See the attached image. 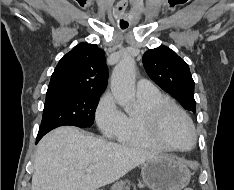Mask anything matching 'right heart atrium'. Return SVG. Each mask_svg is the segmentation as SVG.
I'll return each mask as SVG.
<instances>
[{"label":"right heart atrium","mask_w":234,"mask_h":190,"mask_svg":"<svg viewBox=\"0 0 234 190\" xmlns=\"http://www.w3.org/2000/svg\"><path fill=\"white\" fill-rule=\"evenodd\" d=\"M124 119V113L118 107L114 96L107 92L98 101L95 120L100 131L107 137H116Z\"/></svg>","instance_id":"obj_1"}]
</instances>
